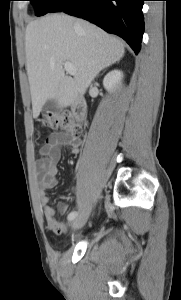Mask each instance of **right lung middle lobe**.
<instances>
[{
	"label": "right lung middle lobe",
	"instance_id": "right-lung-middle-lobe-1",
	"mask_svg": "<svg viewBox=\"0 0 181 300\" xmlns=\"http://www.w3.org/2000/svg\"><path fill=\"white\" fill-rule=\"evenodd\" d=\"M35 7L36 15L42 16L48 12H54L63 0H28Z\"/></svg>",
	"mask_w": 181,
	"mask_h": 300
}]
</instances>
